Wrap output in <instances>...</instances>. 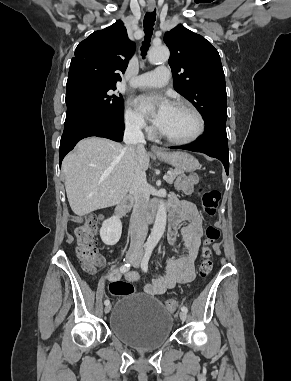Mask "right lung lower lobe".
I'll use <instances>...</instances> for the list:
<instances>
[{
    "label": "right lung lower lobe",
    "mask_w": 291,
    "mask_h": 381,
    "mask_svg": "<svg viewBox=\"0 0 291 381\" xmlns=\"http://www.w3.org/2000/svg\"><path fill=\"white\" fill-rule=\"evenodd\" d=\"M124 130L123 115H109L96 118L83 104H68L64 132L60 141V165L65 155L83 138L104 137L122 141Z\"/></svg>",
    "instance_id": "right-lung-lower-lobe-1"
}]
</instances>
